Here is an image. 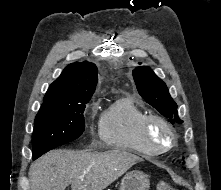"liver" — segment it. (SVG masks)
Here are the masks:
<instances>
[{
  "label": "liver",
  "mask_w": 221,
  "mask_h": 190,
  "mask_svg": "<svg viewBox=\"0 0 221 190\" xmlns=\"http://www.w3.org/2000/svg\"><path fill=\"white\" fill-rule=\"evenodd\" d=\"M143 159L125 150H52L31 164V190H104Z\"/></svg>",
  "instance_id": "obj_1"
}]
</instances>
